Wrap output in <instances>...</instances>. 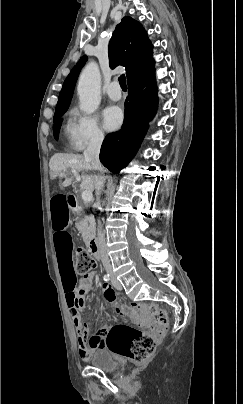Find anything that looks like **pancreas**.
I'll use <instances>...</instances> for the list:
<instances>
[{
	"mask_svg": "<svg viewBox=\"0 0 243 404\" xmlns=\"http://www.w3.org/2000/svg\"><path fill=\"white\" fill-rule=\"evenodd\" d=\"M81 212H82L81 208H77L74 223L78 232L82 234L83 242H85V244H88V242L92 240L93 236H95L94 234L95 226H92V224L86 222L87 220L85 217L82 216Z\"/></svg>",
	"mask_w": 243,
	"mask_h": 404,
	"instance_id": "1",
	"label": "pancreas"
}]
</instances>
